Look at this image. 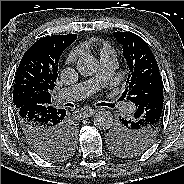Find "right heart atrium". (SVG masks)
<instances>
[{
    "mask_svg": "<svg viewBox=\"0 0 184 184\" xmlns=\"http://www.w3.org/2000/svg\"><path fill=\"white\" fill-rule=\"evenodd\" d=\"M81 50L80 49H76L74 51H72L68 56H67V63H73L80 55Z\"/></svg>",
    "mask_w": 184,
    "mask_h": 184,
    "instance_id": "obj_1",
    "label": "right heart atrium"
}]
</instances>
